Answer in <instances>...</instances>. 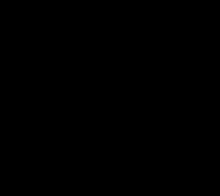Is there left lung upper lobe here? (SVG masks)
Listing matches in <instances>:
<instances>
[{
  "label": "left lung upper lobe",
  "instance_id": "5c2ea615",
  "mask_svg": "<svg viewBox=\"0 0 220 196\" xmlns=\"http://www.w3.org/2000/svg\"><path fill=\"white\" fill-rule=\"evenodd\" d=\"M155 95L157 114L154 134L165 139L181 125L188 111V82L176 64L168 61L160 65Z\"/></svg>",
  "mask_w": 220,
  "mask_h": 196
}]
</instances>
